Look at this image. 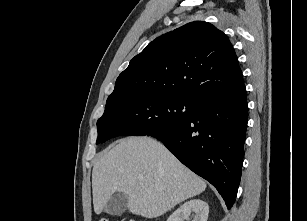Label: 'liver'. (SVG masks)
<instances>
[{
    "label": "liver",
    "instance_id": "6515ba94",
    "mask_svg": "<svg viewBox=\"0 0 307 221\" xmlns=\"http://www.w3.org/2000/svg\"><path fill=\"white\" fill-rule=\"evenodd\" d=\"M205 189L203 179L150 137L120 140L101 153L92 172L96 214L103 211L113 194L124 193L129 212L156 218Z\"/></svg>",
    "mask_w": 307,
    "mask_h": 221
}]
</instances>
